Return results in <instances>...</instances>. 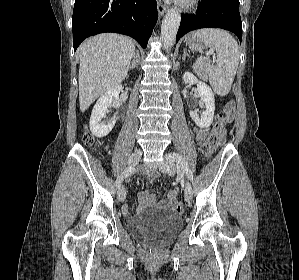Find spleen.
Listing matches in <instances>:
<instances>
[{"label":"spleen","mask_w":299,"mask_h":280,"mask_svg":"<svg viewBox=\"0 0 299 280\" xmlns=\"http://www.w3.org/2000/svg\"><path fill=\"white\" fill-rule=\"evenodd\" d=\"M206 46L217 53V65L205 63L210 84L215 93L225 96L229 93L239 64V47L235 39L220 29H200L193 33Z\"/></svg>","instance_id":"1"}]
</instances>
